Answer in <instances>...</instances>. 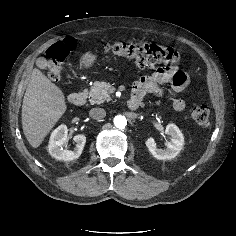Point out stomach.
<instances>
[{
  "instance_id": "obj_1",
  "label": "stomach",
  "mask_w": 236,
  "mask_h": 236,
  "mask_svg": "<svg viewBox=\"0 0 236 236\" xmlns=\"http://www.w3.org/2000/svg\"><path fill=\"white\" fill-rule=\"evenodd\" d=\"M97 56L93 53H85L80 59V65L83 68H90L96 62Z\"/></svg>"
}]
</instances>
